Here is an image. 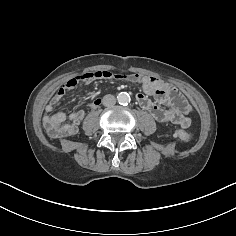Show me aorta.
<instances>
[{
    "label": "aorta",
    "mask_w": 236,
    "mask_h": 236,
    "mask_svg": "<svg viewBox=\"0 0 236 236\" xmlns=\"http://www.w3.org/2000/svg\"><path fill=\"white\" fill-rule=\"evenodd\" d=\"M118 103L121 105H127L130 102V95L126 92H120L117 95Z\"/></svg>",
    "instance_id": "762f6f07"
}]
</instances>
